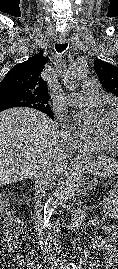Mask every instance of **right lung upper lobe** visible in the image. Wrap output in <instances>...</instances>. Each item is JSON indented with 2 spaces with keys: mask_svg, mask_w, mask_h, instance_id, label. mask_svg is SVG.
I'll return each mask as SVG.
<instances>
[{
  "mask_svg": "<svg viewBox=\"0 0 118 269\" xmlns=\"http://www.w3.org/2000/svg\"><path fill=\"white\" fill-rule=\"evenodd\" d=\"M47 61L48 58L40 51L27 61L15 65L0 82V103L5 102L9 94L24 95L48 103L47 82L42 78ZM42 112L53 118L51 109Z\"/></svg>",
  "mask_w": 118,
  "mask_h": 269,
  "instance_id": "obj_1",
  "label": "right lung upper lobe"
}]
</instances>
